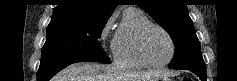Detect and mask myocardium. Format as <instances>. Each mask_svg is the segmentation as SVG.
Masks as SVG:
<instances>
[{
	"label": "myocardium",
	"mask_w": 237,
	"mask_h": 81,
	"mask_svg": "<svg viewBox=\"0 0 237 81\" xmlns=\"http://www.w3.org/2000/svg\"><path fill=\"white\" fill-rule=\"evenodd\" d=\"M151 29H158L160 30L162 33H164L167 38L169 39L170 41V44H171V54H170V57L164 61V62H161V63H155V62H152L148 59L146 53H145V48H144V42H145V38H146V35L147 33L151 30ZM137 53L139 55V57L141 58V60L149 67H154V68H162V67H165L167 66L174 58L175 56V53H176V45H175V41L172 37V35L162 26L158 25V24H155V23H149L147 25H145L138 33V36H137Z\"/></svg>",
	"instance_id": "myocardium-1"
}]
</instances>
